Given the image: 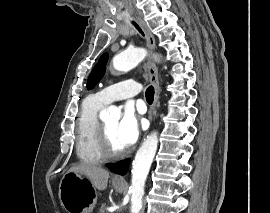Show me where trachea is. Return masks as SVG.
Segmentation results:
<instances>
[{
  "label": "trachea",
  "mask_w": 270,
  "mask_h": 213,
  "mask_svg": "<svg viewBox=\"0 0 270 213\" xmlns=\"http://www.w3.org/2000/svg\"><path fill=\"white\" fill-rule=\"evenodd\" d=\"M133 24L136 27V29L142 35H144L143 32H142V30L140 29V27L138 25H136L135 23H133ZM145 96H146L147 102L151 104L153 102V99H154V88H153V86H150V87L147 88L146 93H145Z\"/></svg>",
  "instance_id": "3493384b"
}]
</instances>
